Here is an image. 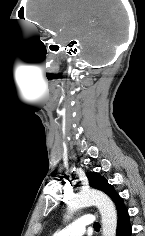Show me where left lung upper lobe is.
Segmentation results:
<instances>
[{
  "instance_id": "1",
  "label": "left lung upper lobe",
  "mask_w": 145,
  "mask_h": 236,
  "mask_svg": "<svg viewBox=\"0 0 145 236\" xmlns=\"http://www.w3.org/2000/svg\"><path fill=\"white\" fill-rule=\"evenodd\" d=\"M87 177L91 187L101 190L106 193L115 203L117 212L125 208L123 199L114 190L112 185H110L105 178H102L96 172H87Z\"/></svg>"
}]
</instances>
